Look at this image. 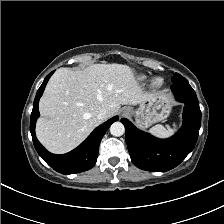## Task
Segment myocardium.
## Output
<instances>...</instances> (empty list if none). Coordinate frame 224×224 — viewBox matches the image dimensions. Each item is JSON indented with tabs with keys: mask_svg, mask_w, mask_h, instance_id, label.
I'll return each instance as SVG.
<instances>
[{
	"mask_svg": "<svg viewBox=\"0 0 224 224\" xmlns=\"http://www.w3.org/2000/svg\"><path fill=\"white\" fill-rule=\"evenodd\" d=\"M164 85V79L160 76L152 78L150 86L153 89H160Z\"/></svg>",
	"mask_w": 224,
	"mask_h": 224,
	"instance_id": "myocardium-1",
	"label": "myocardium"
}]
</instances>
